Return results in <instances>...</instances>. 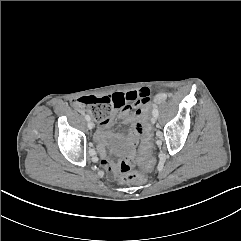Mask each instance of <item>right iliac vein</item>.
I'll list each match as a JSON object with an SVG mask.
<instances>
[{
  "mask_svg": "<svg viewBox=\"0 0 241 241\" xmlns=\"http://www.w3.org/2000/svg\"><path fill=\"white\" fill-rule=\"evenodd\" d=\"M87 126L90 130L94 128V124L90 120L88 121Z\"/></svg>",
  "mask_w": 241,
  "mask_h": 241,
  "instance_id": "63e3f726",
  "label": "right iliac vein"
}]
</instances>
